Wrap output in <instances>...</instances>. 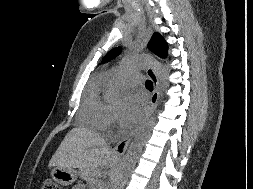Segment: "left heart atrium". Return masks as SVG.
<instances>
[{
  "mask_svg": "<svg viewBox=\"0 0 253 189\" xmlns=\"http://www.w3.org/2000/svg\"><path fill=\"white\" fill-rule=\"evenodd\" d=\"M145 110V100L140 95H131L128 98L126 108L121 115V124L126 128L134 126L141 119Z\"/></svg>",
  "mask_w": 253,
  "mask_h": 189,
  "instance_id": "obj_1",
  "label": "left heart atrium"
}]
</instances>
